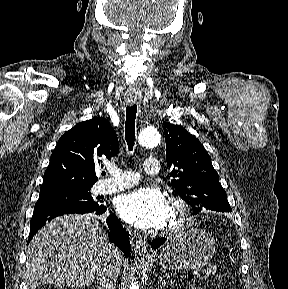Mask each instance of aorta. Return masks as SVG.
<instances>
[{"instance_id":"obj_1","label":"aorta","mask_w":288,"mask_h":289,"mask_svg":"<svg viewBox=\"0 0 288 289\" xmlns=\"http://www.w3.org/2000/svg\"><path fill=\"white\" fill-rule=\"evenodd\" d=\"M160 138L161 136L155 128L148 127L139 134L138 142L143 147L153 148L160 143ZM134 279H132L129 289H140L138 283L134 282Z\"/></svg>"}]
</instances>
